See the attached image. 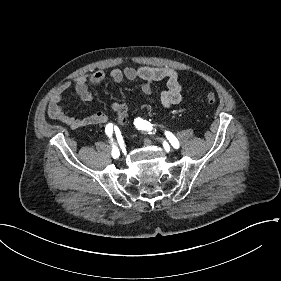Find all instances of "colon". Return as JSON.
Wrapping results in <instances>:
<instances>
[{
    "label": "colon",
    "instance_id": "1",
    "mask_svg": "<svg viewBox=\"0 0 281 281\" xmlns=\"http://www.w3.org/2000/svg\"><path fill=\"white\" fill-rule=\"evenodd\" d=\"M218 101V96L215 93H208L206 95V102L209 104H214ZM117 120L120 123H127L130 120V113L127 111V109H120L117 113Z\"/></svg>",
    "mask_w": 281,
    "mask_h": 281
}]
</instances>
